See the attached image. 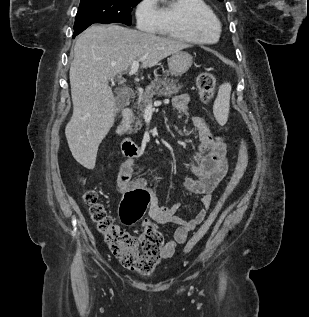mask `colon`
<instances>
[{
    "label": "colon",
    "mask_w": 309,
    "mask_h": 317,
    "mask_svg": "<svg viewBox=\"0 0 309 317\" xmlns=\"http://www.w3.org/2000/svg\"><path fill=\"white\" fill-rule=\"evenodd\" d=\"M197 86L203 102H209L213 97L216 79L212 73L202 72L197 77ZM248 164V153L243 141L239 144L237 163L225 191L215 208L191 237L187 249L201 240L211 228L226 201L239 185ZM84 202L97 230L103 235L114 256L128 269L147 274L155 267L163 246V237L158 228L147 223L139 236H134L114 223L104 206L98 202L96 191L88 189L83 194ZM149 203V193L145 190L127 192L122 200L120 215L124 224H133L144 215Z\"/></svg>",
    "instance_id": "5ec220e1"
}]
</instances>
